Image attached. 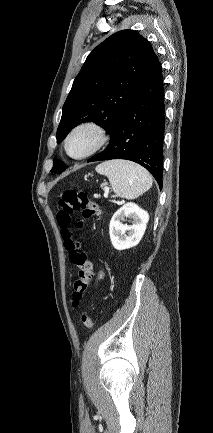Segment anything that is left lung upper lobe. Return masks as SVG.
Listing matches in <instances>:
<instances>
[{
  "label": "left lung upper lobe",
  "mask_w": 213,
  "mask_h": 433,
  "mask_svg": "<svg viewBox=\"0 0 213 433\" xmlns=\"http://www.w3.org/2000/svg\"><path fill=\"white\" fill-rule=\"evenodd\" d=\"M157 60L151 44L130 29L111 35L94 48L63 105L57 143L82 122L93 121L110 133ZM66 168L54 160L51 171Z\"/></svg>",
  "instance_id": "obj_1"
}]
</instances>
